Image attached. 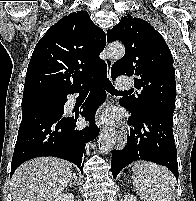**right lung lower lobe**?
I'll list each match as a JSON object with an SVG mask.
<instances>
[{
	"label": "right lung lower lobe",
	"mask_w": 196,
	"mask_h": 201,
	"mask_svg": "<svg viewBox=\"0 0 196 201\" xmlns=\"http://www.w3.org/2000/svg\"><path fill=\"white\" fill-rule=\"evenodd\" d=\"M106 75L107 72L101 71L86 85L70 92L78 93L84 87L91 89L80 112L90 124L87 128H76L79 112L73 116L64 114V104L69 93L63 95L62 108L38 107L22 111V121L12 157L11 175L23 162L41 156L62 158L83 170L85 143L99 134L94 115L106 97L102 87Z\"/></svg>",
	"instance_id": "obj_1"
}]
</instances>
